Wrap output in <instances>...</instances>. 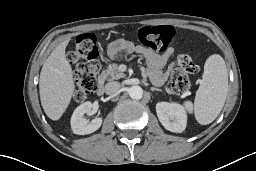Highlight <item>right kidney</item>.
Returning <instances> with one entry per match:
<instances>
[{"label":"right kidney","mask_w":256,"mask_h":171,"mask_svg":"<svg viewBox=\"0 0 256 171\" xmlns=\"http://www.w3.org/2000/svg\"><path fill=\"white\" fill-rule=\"evenodd\" d=\"M93 104L89 101L78 106L71 117V128L75 134L85 135L95 132L102 125V117H96L90 123L84 118L85 113H91Z\"/></svg>","instance_id":"ca27d5eb"}]
</instances>
